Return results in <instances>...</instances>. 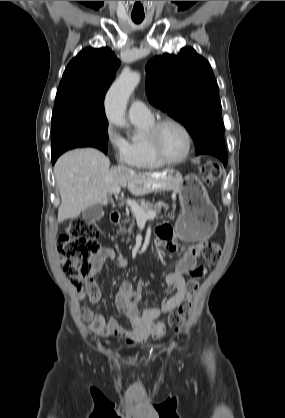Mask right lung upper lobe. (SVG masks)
I'll list each match as a JSON object with an SVG mask.
<instances>
[{
	"instance_id": "1",
	"label": "right lung upper lobe",
	"mask_w": 285,
	"mask_h": 418,
	"mask_svg": "<svg viewBox=\"0 0 285 418\" xmlns=\"http://www.w3.org/2000/svg\"><path fill=\"white\" fill-rule=\"evenodd\" d=\"M120 65L111 49H83L66 67L55 105H81L104 110V96Z\"/></svg>"
}]
</instances>
